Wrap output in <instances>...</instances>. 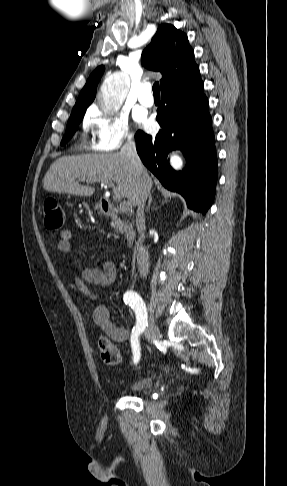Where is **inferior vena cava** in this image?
Wrapping results in <instances>:
<instances>
[{"instance_id": "inferior-vena-cava-1", "label": "inferior vena cava", "mask_w": 287, "mask_h": 486, "mask_svg": "<svg viewBox=\"0 0 287 486\" xmlns=\"http://www.w3.org/2000/svg\"><path fill=\"white\" fill-rule=\"evenodd\" d=\"M121 153L130 160L137 175L138 184H137L136 201H137L138 209H137L136 225H137V230L140 234L137 241V266L140 275L146 277L148 274L150 263H149L148 249L145 246H143V242L145 239V234L143 232L145 228L144 207H145V202L147 200V197L150 194L152 181L148 175L147 170L144 168L137 154L135 142L132 140L131 136L128 137L127 142L122 146Z\"/></svg>"}]
</instances>
